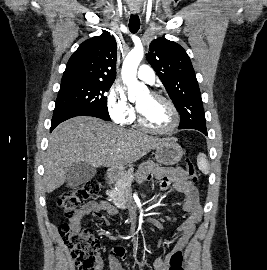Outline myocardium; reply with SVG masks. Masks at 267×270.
Masks as SVG:
<instances>
[{
	"mask_svg": "<svg viewBox=\"0 0 267 270\" xmlns=\"http://www.w3.org/2000/svg\"><path fill=\"white\" fill-rule=\"evenodd\" d=\"M151 96L155 99H158L160 101H163L170 109L171 114H172V123L171 125L166 128V129H155L152 128L150 126H148L145 121L142 118V115L140 113V111H137V124L138 126L143 129L146 132L152 133V134H156V135H169L171 133H173L175 131V129L178 127L179 125V112L175 106V104L173 103L172 100H170L168 97L159 94V93H152Z\"/></svg>",
	"mask_w": 267,
	"mask_h": 270,
	"instance_id": "myocardium-1",
	"label": "myocardium"
}]
</instances>
